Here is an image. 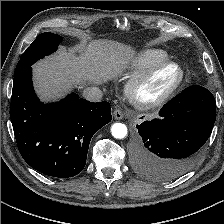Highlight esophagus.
<instances>
[{"mask_svg": "<svg viewBox=\"0 0 224 224\" xmlns=\"http://www.w3.org/2000/svg\"><path fill=\"white\" fill-rule=\"evenodd\" d=\"M113 115H114V118H115L116 120H121V119H123V112H122L121 109H118V108L115 109Z\"/></svg>", "mask_w": 224, "mask_h": 224, "instance_id": "esophagus-1", "label": "esophagus"}]
</instances>
